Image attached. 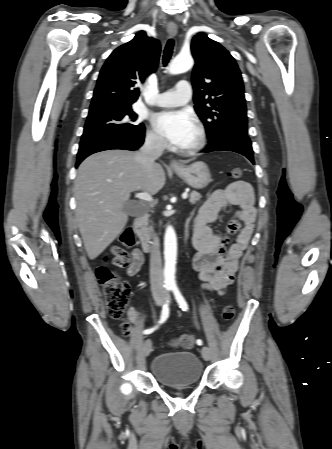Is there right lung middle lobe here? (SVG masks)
Returning <instances> with one entry per match:
<instances>
[{
	"instance_id": "dd1d6c3e",
	"label": "right lung middle lobe",
	"mask_w": 332,
	"mask_h": 449,
	"mask_svg": "<svg viewBox=\"0 0 332 449\" xmlns=\"http://www.w3.org/2000/svg\"><path fill=\"white\" fill-rule=\"evenodd\" d=\"M137 114L131 107L89 112L82 139L100 135L134 136L144 131V125L134 122Z\"/></svg>"
}]
</instances>
